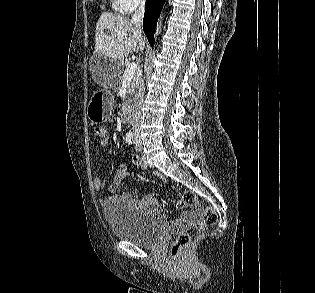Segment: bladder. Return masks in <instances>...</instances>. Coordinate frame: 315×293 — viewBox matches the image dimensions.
<instances>
[{"mask_svg":"<svg viewBox=\"0 0 315 293\" xmlns=\"http://www.w3.org/2000/svg\"><path fill=\"white\" fill-rule=\"evenodd\" d=\"M104 217L115 237L140 247L154 246L163 234L152 216L125 202L110 204Z\"/></svg>","mask_w":315,"mask_h":293,"instance_id":"31cf9c89","label":"bladder"}]
</instances>
